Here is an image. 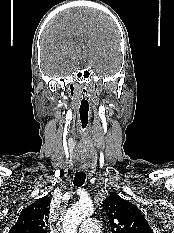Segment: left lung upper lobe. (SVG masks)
I'll return each mask as SVG.
<instances>
[{
    "label": "left lung upper lobe",
    "mask_w": 174,
    "mask_h": 233,
    "mask_svg": "<svg viewBox=\"0 0 174 233\" xmlns=\"http://www.w3.org/2000/svg\"><path fill=\"white\" fill-rule=\"evenodd\" d=\"M111 233H153L141 211L115 192L103 202Z\"/></svg>",
    "instance_id": "obj_1"
}]
</instances>
